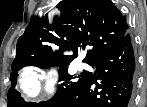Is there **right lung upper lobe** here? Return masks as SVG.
Instances as JSON below:
<instances>
[{
    "instance_id": "1",
    "label": "right lung upper lobe",
    "mask_w": 147,
    "mask_h": 107,
    "mask_svg": "<svg viewBox=\"0 0 147 107\" xmlns=\"http://www.w3.org/2000/svg\"><path fill=\"white\" fill-rule=\"evenodd\" d=\"M52 24L33 18L17 42L12 67L33 62L49 68L69 65L88 47L83 62L93 66L128 31L126 17L110 0H62Z\"/></svg>"
}]
</instances>
